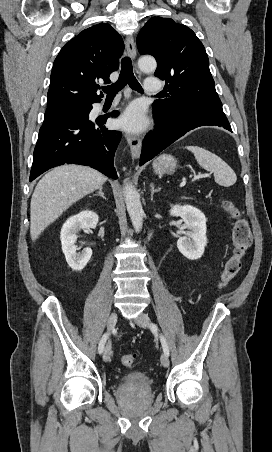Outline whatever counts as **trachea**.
<instances>
[{"label": "trachea", "instance_id": "1", "mask_svg": "<svg viewBox=\"0 0 272 452\" xmlns=\"http://www.w3.org/2000/svg\"><path fill=\"white\" fill-rule=\"evenodd\" d=\"M127 84H129L131 89L143 93L140 83L134 76L131 59L124 57L121 61V72L118 80L109 86L103 87L102 90L107 94V97H113Z\"/></svg>", "mask_w": 272, "mask_h": 452}]
</instances>
